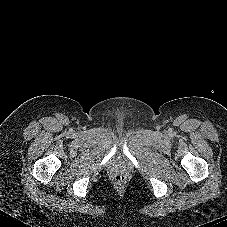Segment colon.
<instances>
[{
	"label": "colon",
	"instance_id": "1",
	"mask_svg": "<svg viewBox=\"0 0 227 227\" xmlns=\"http://www.w3.org/2000/svg\"><path fill=\"white\" fill-rule=\"evenodd\" d=\"M125 180H126V176L124 174H119L116 176V181L118 183H123V182H125Z\"/></svg>",
	"mask_w": 227,
	"mask_h": 227
}]
</instances>
